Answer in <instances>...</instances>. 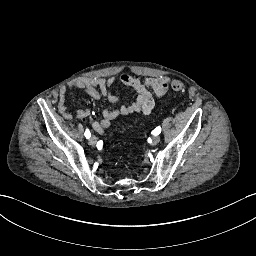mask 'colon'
I'll list each match as a JSON object with an SVG mask.
<instances>
[{
	"label": "colon",
	"mask_w": 256,
	"mask_h": 256,
	"mask_svg": "<svg viewBox=\"0 0 256 256\" xmlns=\"http://www.w3.org/2000/svg\"><path fill=\"white\" fill-rule=\"evenodd\" d=\"M172 88L173 90L175 91H178V92H181V91H184L185 89V86L182 82L180 81H174L173 84H172Z\"/></svg>",
	"instance_id": "obj_1"
}]
</instances>
